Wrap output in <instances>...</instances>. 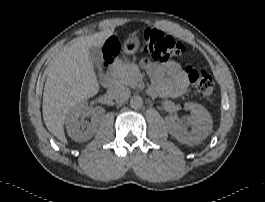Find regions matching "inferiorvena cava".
Wrapping results in <instances>:
<instances>
[{
    "label": "inferior vena cava",
    "mask_w": 265,
    "mask_h": 202,
    "mask_svg": "<svg viewBox=\"0 0 265 202\" xmlns=\"http://www.w3.org/2000/svg\"><path fill=\"white\" fill-rule=\"evenodd\" d=\"M109 94L116 103L122 104L129 99L131 92L129 88L116 84L109 90Z\"/></svg>",
    "instance_id": "obj_1"
}]
</instances>
